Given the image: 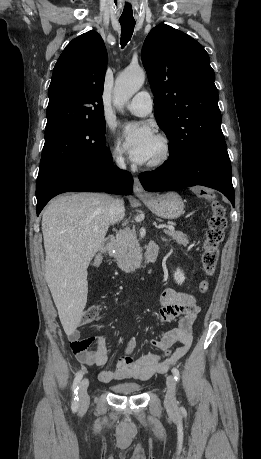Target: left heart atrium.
Returning a JSON list of instances; mask_svg holds the SVG:
<instances>
[{"label":"left heart atrium","instance_id":"1","mask_svg":"<svg viewBox=\"0 0 261 459\" xmlns=\"http://www.w3.org/2000/svg\"><path fill=\"white\" fill-rule=\"evenodd\" d=\"M124 140V146L133 162H148L156 141L153 129L148 124H128L124 128Z\"/></svg>","mask_w":261,"mask_h":459}]
</instances>
